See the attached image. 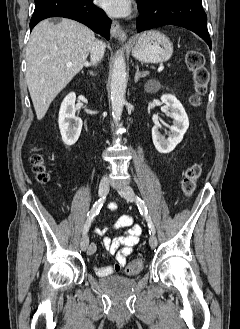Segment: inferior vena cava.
Masks as SVG:
<instances>
[{"label": "inferior vena cava", "instance_id": "1", "mask_svg": "<svg viewBox=\"0 0 240 329\" xmlns=\"http://www.w3.org/2000/svg\"><path fill=\"white\" fill-rule=\"evenodd\" d=\"M105 47L106 45L102 41H94L90 51V60L92 65H96V63L102 59L104 56Z\"/></svg>", "mask_w": 240, "mask_h": 329}]
</instances>
